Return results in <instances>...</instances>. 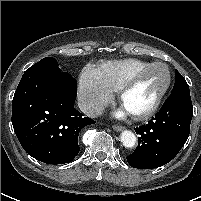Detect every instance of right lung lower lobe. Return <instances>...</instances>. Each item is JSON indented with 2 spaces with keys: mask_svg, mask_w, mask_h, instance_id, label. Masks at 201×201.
Listing matches in <instances>:
<instances>
[{
  "mask_svg": "<svg viewBox=\"0 0 201 201\" xmlns=\"http://www.w3.org/2000/svg\"><path fill=\"white\" fill-rule=\"evenodd\" d=\"M76 88V80L66 72H24L12 101V124L33 158L64 164L79 153V132L95 121L74 108Z\"/></svg>",
  "mask_w": 201,
  "mask_h": 201,
  "instance_id": "right-lung-lower-lobe-1",
  "label": "right lung lower lobe"
}]
</instances>
